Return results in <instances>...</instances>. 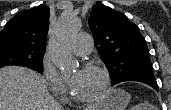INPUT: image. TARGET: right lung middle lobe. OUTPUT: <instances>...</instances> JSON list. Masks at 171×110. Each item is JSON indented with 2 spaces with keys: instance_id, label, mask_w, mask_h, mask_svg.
<instances>
[{
  "instance_id": "obj_1",
  "label": "right lung middle lobe",
  "mask_w": 171,
  "mask_h": 110,
  "mask_svg": "<svg viewBox=\"0 0 171 110\" xmlns=\"http://www.w3.org/2000/svg\"><path fill=\"white\" fill-rule=\"evenodd\" d=\"M37 51L10 42L0 43V68L8 65L29 67L43 73V55Z\"/></svg>"
}]
</instances>
